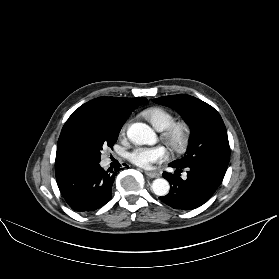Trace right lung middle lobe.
Listing matches in <instances>:
<instances>
[{
	"mask_svg": "<svg viewBox=\"0 0 279 279\" xmlns=\"http://www.w3.org/2000/svg\"><path fill=\"white\" fill-rule=\"evenodd\" d=\"M123 123L92 121L82 125L72 136L70 152L75 163L100 162L104 146L112 148Z\"/></svg>",
	"mask_w": 279,
	"mask_h": 279,
	"instance_id": "1",
	"label": "right lung middle lobe"
}]
</instances>
